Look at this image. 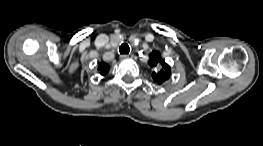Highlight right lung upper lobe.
Returning <instances> with one entry per match:
<instances>
[{
	"label": "right lung upper lobe",
	"mask_w": 263,
	"mask_h": 146,
	"mask_svg": "<svg viewBox=\"0 0 263 146\" xmlns=\"http://www.w3.org/2000/svg\"><path fill=\"white\" fill-rule=\"evenodd\" d=\"M109 68H110L109 65L104 62L100 63L98 66V70L101 75L107 74L109 72Z\"/></svg>",
	"instance_id": "cb5924a9"
}]
</instances>
